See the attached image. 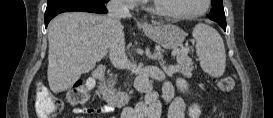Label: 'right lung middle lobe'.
<instances>
[{
    "instance_id": "obj_1",
    "label": "right lung middle lobe",
    "mask_w": 273,
    "mask_h": 118,
    "mask_svg": "<svg viewBox=\"0 0 273 118\" xmlns=\"http://www.w3.org/2000/svg\"><path fill=\"white\" fill-rule=\"evenodd\" d=\"M102 2H108V0H101Z\"/></svg>"
}]
</instances>
